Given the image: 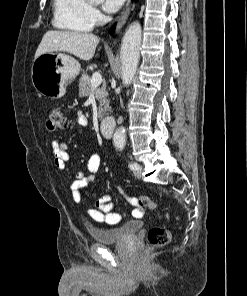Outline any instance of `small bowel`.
Here are the masks:
<instances>
[{"label":"small bowel","mask_w":247,"mask_h":296,"mask_svg":"<svg viewBox=\"0 0 247 296\" xmlns=\"http://www.w3.org/2000/svg\"><path fill=\"white\" fill-rule=\"evenodd\" d=\"M76 123L80 127H87L89 125L88 118L81 112L76 113ZM54 153L55 166L63 170L66 162L69 159L68 146L64 143L53 141L52 143ZM101 165V155L97 152L93 153L87 162V172H79L76 178L69 183V188L72 192L73 200L80 203L84 196L90 197L88 187L96 178V173ZM123 198L130 204L137 205L134 197L130 196L120 186H115ZM112 194L106 193L95 200V208L87 210L88 215L96 222L108 225H116L123 220L124 214L116 212L115 205L112 203Z\"/></svg>","instance_id":"1"}]
</instances>
